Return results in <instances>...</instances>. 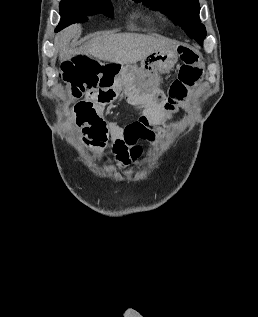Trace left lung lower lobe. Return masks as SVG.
<instances>
[{
    "label": "left lung lower lobe",
    "instance_id": "0a47b994",
    "mask_svg": "<svg viewBox=\"0 0 258 317\" xmlns=\"http://www.w3.org/2000/svg\"><path fill=\"white\" fill-rule=\"evenodd\" d=\"M198 43H200L201 45L203 44V40H196Z\"/></svg>",
    "mask_w": 258,
    "mask_h": 317
}]
</instances>
